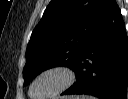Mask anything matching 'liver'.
Instances as JSON below:
<instances>
[{
  "instance_id": "1",
  "label": "liver",
  "mask_w": 128,
  "mask_h": 99,
  "mask_svg": "<svg viewBox=\"0 0 128 99\" xmlns=\"http://www.w3.org/2000/svg\"><path fill=\"white\" fill-rule=\"evenodd\" d=\"M83 98H84V97H83ZM70 99H79V97H75V98H74V97H71Z\"/></svg>"
}]
</instances>
